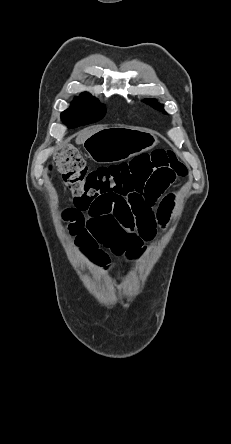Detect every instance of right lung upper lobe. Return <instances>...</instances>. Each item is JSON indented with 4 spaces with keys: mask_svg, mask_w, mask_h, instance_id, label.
<instances>
[{
    "mask_svg": "<svg viewBox=\"0 0 231 444\" xmlns=\"http://www.w3.org/2000/svg\"><path fill=\"white\" fill-rule=\"evenodd\" d=\"M81 95H89V93H87V92H84V93H82Z\"/></svg>",
    "mask_w": 231,
    "mask_h": 444,
    "instance_id": "cb5924a9",
    "label": "right lung upper lobe"
}]
</instances>
